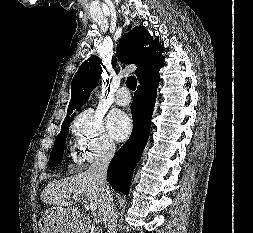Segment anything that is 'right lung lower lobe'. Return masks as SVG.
Listing matches in <instances>:
<instances>
[{"label":"right lung lower lobe","instance_id":"right-lung-lower-lobe-1","mask_svg":"<svg viewBox=\"0 0 253 233\" xmlns=\"http://www.w3.org/2000/svg\"><path fill=\"white\" fill-rule=\"evenodd\" d=\"M158 83V71L149 74L140 81L131 105L132 134L123 147L114 155L108 167L107 179L109 184L125 195L129 193L134 168L141 158L149 137Z\"/></svg>","mask_w":253,"mask_h":233}]
</instances>
